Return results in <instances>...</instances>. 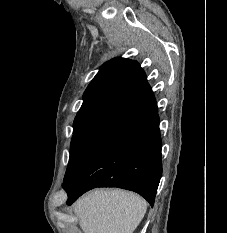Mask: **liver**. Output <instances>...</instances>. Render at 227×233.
I'll return each mask as SVG.
<instances>
[{"label": "liver", "mask_w": 227, "mask_h": 233, "mask_svg": "<svg viewBox=\"0 0 227 233\" xmlns=\"http://www.w3.org/2000/svg\"><path fill=\"white\" fill-rule=\"evenodd\" d=\"M147 210L140 196L119 189H97L74 205L84 233H133Z\"/></svg>", "instance_id": "obj_1"}]
</instances>
